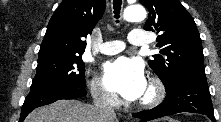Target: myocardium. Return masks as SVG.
I'll list each match as a JSON object with an SVG mask.
<instances>
[{
    "mask_svg": "<svg viewBox=\"0 0 221 122\" xmlns=\"http://www.w3.org/2000/svg\"><path fill=\"white\" fill-rule=\"evenodd\" d=\"M165 93L163 82L158 78H151L147 94L139 101V106L144 108L154 107L163 101Z\"/></svg>",
    "mask_w": 221,
    "mask_h": 122,
    "instance_id": "obj_1",
    "label": "myocardium"
}]
</instances>
